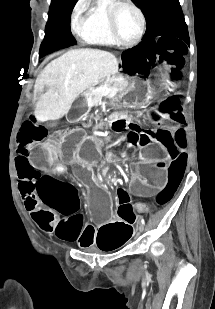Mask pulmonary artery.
<instances>
[{"instance_id": "obj_1", "label": "pulmonary artery", "mask_w": 215, "mask_h": 309, "mask_svg": "<svg viewBox=\"0 0 215 309\" xmlns=\"http://www.w3.org/2000/svg\"><path fill=\"white\" fill-rule=\"evenodd\" d=\"M102 2H105V0H102ZM101 1H96L95 2V7L96 8H101L102 6H104V3H102Z\"/></svg>"}]
</instances>
